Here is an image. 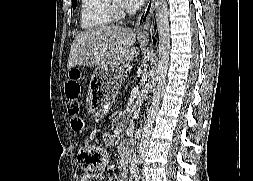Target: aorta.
Masks as SVG:
<instances>
[{
  "instance_id": "762f6f07",
  "label": "aorta",
  "mask_w": 253,
  "mask_h": 181,
  "mask_svg": "<svg viewBox=\"0 0 253 181\" xmlns=\"http://www.w3.org/2000/svg\"><path fill=\"white\" fill-rule=\"evenodd\" d=\"M155 18L158 34V64L156 68L157 87L153 98L152 107H149V112L146 113V123L142 126V137L140 140V152L139 157H146L147 149H150L149 140L151 138V130L155 123V112L160 103V93L163 83L165 82L168 65H169V53H170V28L168 20V8L166 0H155Z\"/></svg>"
}]
</instances>
